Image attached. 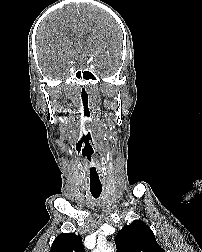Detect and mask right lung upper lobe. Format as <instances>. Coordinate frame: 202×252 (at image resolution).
<instances>
[{"instance_id":"1","label":"right lung upper lobe","mask_w":202,"mask_h":252,"mask_svg":"<svg viewBox=\"0 0 202 252\" xmlns=\"http://www.w3.org/2000/svg\"><path fill=\"white\" fill-rule=\"evenodd\" d=\"M50 252H85L82 237L74 233H62L54 240Z\"/></svg>"}]
</instances>
